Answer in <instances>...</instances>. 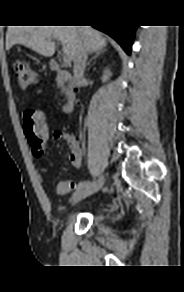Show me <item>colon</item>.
<instances>
[{
  "label": "colon",
  "instance_id": "5ec220e1",
  "mask_svg": "<svg viewBox=\"0 0 184 292\" xmlns=\"http://www.w3.org/2000/svg\"><path fill=\"white\" fill-rule=\"evenodd\" d=\"M12 69L21 90H27L38 81V74L25 60H16ZM23 128L35 156L41 157L48 140V127L41 111L26 109L23 112Z\"/></svg>",
  "mask_w": 184,
  "mask_h": 292
}]
</instances>
